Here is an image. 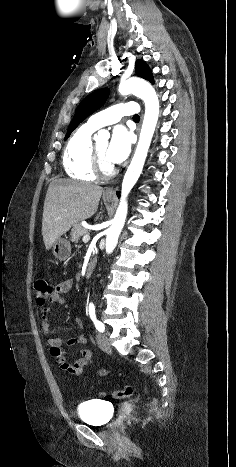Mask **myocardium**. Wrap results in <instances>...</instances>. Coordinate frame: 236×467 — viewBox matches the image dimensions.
<instances>
[{"mask_svg": "<svg viewBox=\"0 0 236 467\" xmlns=\"http://www.w3.org/2000/svg\"><path fill=\"white\" fill-rule=\"evenodd\" d=\"M92 167L96 176L104 179L111 178L116 173V169L113 165H106L96 145H93L92 148Z\"/></svg>", "mask_w": 236, "mask_h": 467, "instance_id": "myocardium-1", "label": "myocardium"}]
</instances>
